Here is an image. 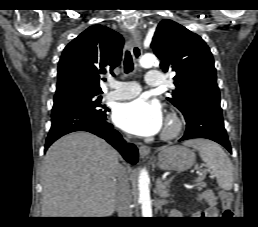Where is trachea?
<instances>
[{
    "label": "trachea",
    "mask_w": 258,
    "mask_h": 227,
    "mask_svg": "<svg viewBox=\"0 0 258 227\" xmlns=\"http://www.w3.org/2000/svg\"><path fill=\"white\" fill-rule=\"evenodd\" d=\"M133 59L131 56V53L129 51L125 52V58H124V71L125 73H129L133 71Z\"/></svg>",
    "instance_id": "1"
}]
</instances>
